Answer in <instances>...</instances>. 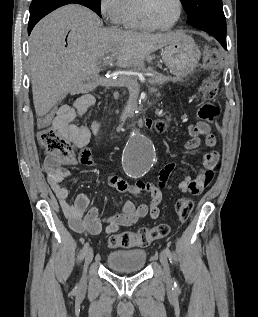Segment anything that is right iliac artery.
Wrapping results in <instances>:
<instances>
[{"label":"right iliac artery","mask_w":258,"mask_h":317,"mask_svg":"<svg viewBox=\"0 0 258 317\" xmlns=\"http://www.w3.org/2000/svg\"><path fill=\"white\" fill-rule=\"evenodd\" d=\"M88 248H89V243H85V245L83 246V249H82V253H81V260L83 259L86 252L88 251ZM77 289H78V286L75 287V290H77Z\"/></svg>","instance_id":"obj_1"}]
</instances>
